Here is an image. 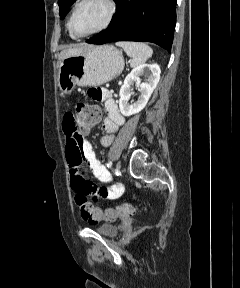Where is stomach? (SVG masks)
I'll return each mask as SVG.
<instances>
[{"instance_id":"1","label":"stomach","mask_w":240,"mask_h":288,"mask_svg":"<svg viewBox=\"0 0 240 288\" xmlns=\"http://www.w3.org/2000/svg\"><path fill=\"white\" fill-rule=\"evenodd\" d=\"M124 68L122 52L113 45H89L59 65L58 87L71 94L76 86H100L118 77Z\"/></svg>"}]
</instances>
